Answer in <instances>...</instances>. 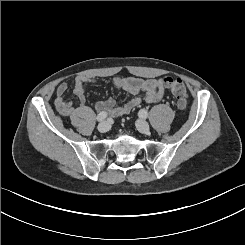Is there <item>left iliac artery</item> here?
Segmentation results:
<instances>
[{
	"label": "left iliac artery",
	"mask_w": 245,
	"mask_h": 245,
	"mask_svg": "<svg viewBox=\"0 0 245 245\" xmlns=\"http://www.w3.org/2000/svg\"><path fill=\"white\" fill-rule=\"evenodd\" d=\"M139 115H140V117L147 118L148 112L145 109H141L139 111Z\"/></svg>",
	"instance_id": "obj_1"
}]
</instances>
